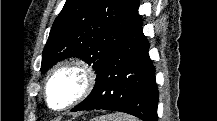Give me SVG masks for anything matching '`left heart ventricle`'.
Listing matches in <instances>:
<instances>
[{
  "label": "left heart ventricle",
  "mask_w": 217,
  "mask_h": 121,
  "mask_svg": "<svg viewBox=\"0 0 217 121\" xmlns=\"http://www.w3.org/2000/svg\"><path fill=\"white\" fill-rule=\"evenodd\" d=\"M82 81L78 73H60L50 85V101L54 107L66 105L79 91Z\"/></svg>",
  "instance_id": "b2bd125f"
}]
</instances>
